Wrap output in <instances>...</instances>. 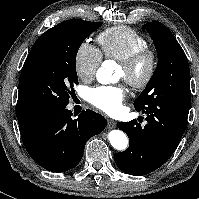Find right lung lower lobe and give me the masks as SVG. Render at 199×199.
Returning <instances> with one entry per match:
<instances>
[{"label": "right lung lower lobe", "instance_id": "obj_1", "mask_svg": "<svg viewBox=\"0 0 199 199\" xmlns=\"http://www.w3.org/2000/svg\"><path fill=\"white\" fill-rule=\"evenodd\" d=\"M106 123L92 110H83L73 119L71 111L64 107L38 118L20 133L27 152L38 165L48 171L64 172L80 162L87 140L101 133Z\"/></svg>", "mask_w": 199, "mask_h": 199}]
</instances>
